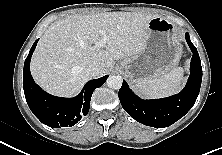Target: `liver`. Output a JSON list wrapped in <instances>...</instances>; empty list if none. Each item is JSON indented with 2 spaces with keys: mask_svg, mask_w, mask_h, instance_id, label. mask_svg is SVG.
Returning a JSON list of instances; mask_svg holds the SVG:
<instances>
[{
  "mask_svg": "<svg viewBox=\"0 0 222 155\" xmlns=\"http://www.w3.org/2000/svg\"><path fill=\"white\" fill-rule=\"evenodd\" d=\"M156 15L106 12L71 15L49 26L40 38L31 60V74L43 89L58 96H71L90 79L85 69L91 63L105 75L115 60L142 53L146 47L147 23ZM107 34L104 47L95 44Z\"/></svg>",
  "mask_w": 222,
  "mask_h": 155,
  "instance_id": "1",
  "label": "liver"
}]
</instances>
